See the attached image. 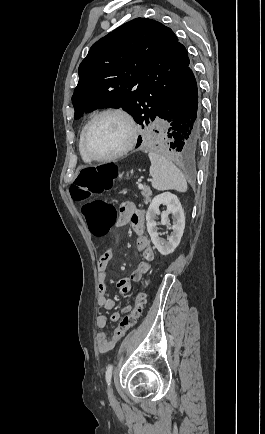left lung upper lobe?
I'll list each match as a JSON object with an SVG mask.
<instances>
[{
	"label": "left lung upper lobe",
	"mask_w": 265,
	"mask_h": 434,
	"mask_svg": "<svg viewBox=\"0 0 265 434\" xmlns=\"http://www.w3.org/2000/svg\"><path fill=\"white\" fill-rule=\"evenodd\" d=\"M190 60L162 23L136 18L97 41L79 66L72 96L75 119L98 108H120L148 124Z\"/></svg>",
	"instance_id": "obj_1"
}]
</instances>
